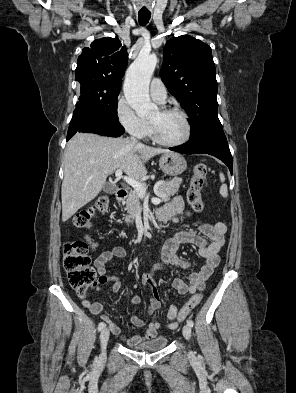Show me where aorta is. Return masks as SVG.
Returning a JSON list of instances; mask_svg holds the SVG:
<instances>
[{
	"mask_svg": "<svg viewBox=\"0 0 296 393\" xmlns=\"http://www.w3.org/2000/svg\"><path fill=\"white\" fill-rule=\"evenodd\" d=\"M157 64L151 54H139L127 70L124 82V95L128 104L139 117H145L158 110L149 97V83Z\"/></svg>",
	"mask_w": 296,
	"mask_h": 393,
	"instance_id": "aorta-1",
	"label": "aorta"
}]
</instances>
